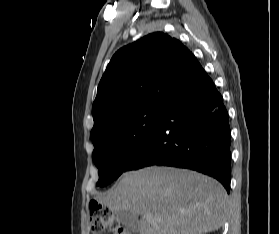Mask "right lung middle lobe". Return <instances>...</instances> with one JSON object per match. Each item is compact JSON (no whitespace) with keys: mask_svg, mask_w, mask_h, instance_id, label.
<instances>
[{"mask_svg":"<svg viewBox=\"0 0 279 234\" xmlns=\"http://www.w3.org/2000/svg\"><path fill=\"white\" fill-rule=\"evenodd\" d=\"M163 109L149 107L124 114L109 122L92 140L93 161L99 172L97 186L108 185L126 170L152 133Z\"/></svg>","mask_w":279,"mask_h":234,"instance_id":"dd1d6c3e","label":"right lung middle lobe"}]
</instances>
